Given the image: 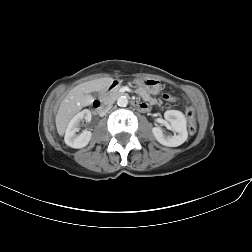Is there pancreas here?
Returning a JSON list of instances; mask_svg holds the SVG:
<instances>
[{
	"mask_svg": "<svg viewBox=\"0 0 252 252\" xmlns=\"http://www.w3.org/2000/svg\"><path fill=\"white\" fill-rule=\"evenodd\" d=\"M128 86H131V83H128ZM135 88H138V84H135ZM136 92L146 101H148L149 104L155 103L156 105L160 104L159 100L156 99H152L151 96L148 94V92H146L144 89H142L141 87H139L138 89H136ZM117 93L114 92L110 95V97H113V95H116Z\"/></svg>",
	"mask_w": 252,
	"mask_h": 252,
	"instance_id": "pancreas-1",
	"label": "pancreas"
}]
</instances>
